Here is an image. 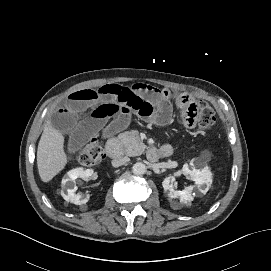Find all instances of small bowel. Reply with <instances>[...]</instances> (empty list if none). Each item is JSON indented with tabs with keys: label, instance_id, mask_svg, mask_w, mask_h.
Returning <instances> with one entry per match:
<instances>
[{
	"label": "small bowel",
	"instance_id": "c3829d8e",
	"mask_svg": "<svg viewBox=\"0 0 271 271\" xmlns=\"http://www.w3.org/2000/svg\"><path fill=\"white\" fill-rule=\"evenodd\" d=\"M169 98V91L147 84L81 89L71 93L55 111L48 131L62 134L68 151L75 152L96 132L107 135L127 128L132 115L165 125L172 112ZM159 151L168 155L172 149L165 145Z\"/></svg>",
	"mask_w": 271,
	"mask_h": 271
}]
</instances>
